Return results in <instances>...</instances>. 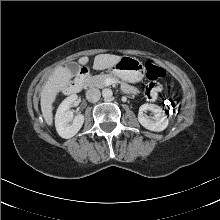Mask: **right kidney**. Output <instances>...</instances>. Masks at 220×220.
I'll list each match as a JSON object with an SVG mask.
<instances>
[{
  "label": "right kidney",
  "mask_w": 220,
  "mask_h": 220,
  "mask_svg": "<svg viewBox=\"0 0 220 220\" xmlns=\"http://www.w3.org/2000/svg\"><path fill=\"white\" fill-rule=\"evenodd\" d=\"M77 95L67 97L58 107L55 115V127L57 133L65 139L72 138L81 129L84 123V115L78 114L73 119V112L70 110L73 102L77 100ZM72 122L71 124H69Z\"/></svg>",
  "instance_id": "1"
}]
</instances>
